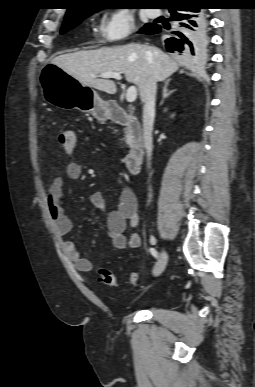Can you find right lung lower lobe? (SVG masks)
I'll return each instance as SVG.
<instances>
[{"mask_svg":"<svg viewBox=\"0 0 255 387\" xmlns=\"http://www.w3.org/2000/svg\"><path fill=\"white\" fill-rule=\"evenodd\" d=\"M173 27L151 25L142 30L146 34H156L162 30L170 37L164 38L167 51H177L187 56L200 58L206 44V19L202 4L196 0H179L168 7Z\"/></svg>","mask_w":255,"mask_h":387,"instance_id":"1","label":"right lung lower lobe"}]
</instances>
